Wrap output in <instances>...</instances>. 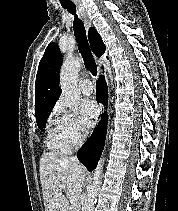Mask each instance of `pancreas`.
<instances>
[{"label":"pancreas","mask_w":178,"mask_h":211,"mask_svg":"<svg viewBox=\"0 0 178 211\" xmlns=\"http://www.w3.org/2000/svg\"><path fill=\"white\" fill-rule=\"evenodd\" d=\"M69 211H80L79 206H71Z\"/></svg>","instance_id":"pancreas-1"}]
</instances>
